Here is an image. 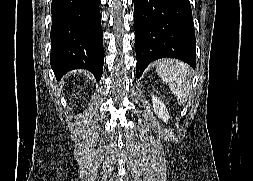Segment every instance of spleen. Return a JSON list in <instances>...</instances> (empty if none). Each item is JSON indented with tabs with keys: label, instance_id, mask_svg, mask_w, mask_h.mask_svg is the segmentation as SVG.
Wrapping results in <instances>:
<instances>
[{
	"label": "spleen",
	"instance_id": "obj_1",
	"mask_svg": "<svg viewBox=\"0 0 253 181\" xmlns=\"http://www.w3.org/2000/svg\"><path fill=\"white\" fill-rule=\"evenodd\" d=\"M156 72L169 86L178 103L184 104L191 89L190 67L178 60L163 59L156 62Z\"/></svg>",
	"mask_w": 253,
	"mask_h": 181
}]
</instances>
